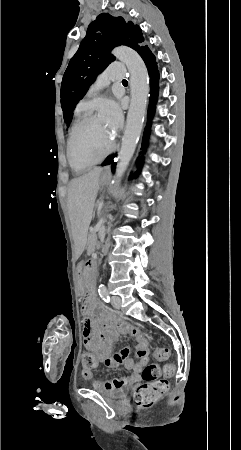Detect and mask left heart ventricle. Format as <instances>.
I'll return each mask as SVG.
<instances>
[{
  "instance_id": "left-heart-ventricle-1",
  "label": "left heart ventricle",
  "mask_w": 241,
  "mask_h": 450,
  "mask_svg": "<svg viewBox=\"0 0 241 450\" xmlns=\"http://www.w3.org/2000/svg\"><path fill=\"white\" fill-rule=\"evenodd\" d=\"M76 128L79 132L73 150L79 165L88 169L95 167V160H104L105 153L110 152L114 140V132L108 122L102 120L100 114L84 115Z\"/></svg>"
}]
</instances>
